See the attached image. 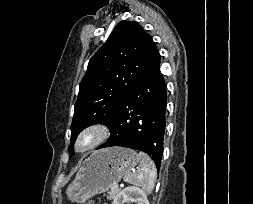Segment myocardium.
Instances as JSON below:
<instances>
[{"label": "myocardium", "instance_id": "f54148a6", "mask_svg": "<svg viewBox=\"0 0 253 204\" xmlns=\"http://www.w3.org/2000/svg\"><path fill=\"white\" fill-rule=\"evenodd\" d=\"M110 136L109 127L101 122H95L84 127L74 140V149L79 154H88L107 141ZM89 138V142L82 146V142Z\"/></svg>", "mask_w": 253, "mask_h": 204}]
</instances>
